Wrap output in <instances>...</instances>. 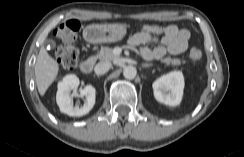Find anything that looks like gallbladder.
Masks as SVG:
<instances>
[{
	"label": "gallbladder",
	"mask_w": 244,
	"mask_h": 157,
	"mask_svg": "<svg viewBox=\"0 0 244 157\" xmlns=\"http://www.w3.org/2000/svg\"><path fill=\"white\" fill-rule=\"evenodd\" d=\"M45 43L46 45H50L52 48L55 47V42L52 39H48Z\"/></svg>",
	"instance_id": "gallbladder-1"
}]
</instances>
